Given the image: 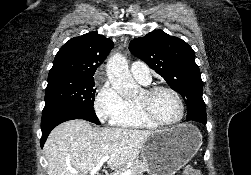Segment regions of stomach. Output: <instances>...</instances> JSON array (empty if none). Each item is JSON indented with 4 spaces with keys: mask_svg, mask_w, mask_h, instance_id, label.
Returning <instances> with one entry per match:
<instances>
[{
    "mask_svg": "<svg viewBox=\"0 0 251 175\" xmlns=\"http://www.w3.org/2000/svg\"><path fill=\"white\" fill-rule=\"evenodd\" d=\"M202 133L192 123H178L166 131H152L141 151L149 175H174L202 145Z\"/></svg>",
    "mask_w": 251,
    "mask_h": 175,
    "instance_id": "1",
    "label": "stomach"
}]
</instances>
